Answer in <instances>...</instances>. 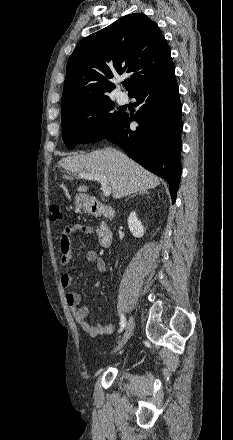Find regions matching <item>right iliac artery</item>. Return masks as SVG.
Segmentation results:
<instances>
[{
  "label": "right iliac artery",
  "mask_w": 233,
  "mask_h": 440,
  "mask_svg": "<svg viewBox=\"0 0 233 440\" xmlns=\"http://www.w3.org/2000/svg\"><path fill=\"white\" fill-rule=\"evenodd\" d=\"M125 325H126V319H125V317L121 314V321H120V329H119V332H122V331H123Z\"/></svg>",
  "instance_id": "right-iliac-artery-1"
}]
</instances>
